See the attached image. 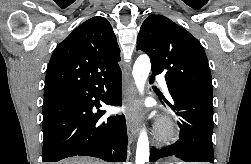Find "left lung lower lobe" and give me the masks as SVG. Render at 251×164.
Wrapping results in <instances>:
<instances>
[{"instance_id": "left-lung-lower-lobe-1", "label": "left lung lower lobe", "mask_w": 251, "mask_h": 164, "mask_svg": "<svg viewBox=\"0 0 251 164\" xmlns=\"http://www.w3.org/2000/svg\"><path fill=\"white\" fill-rule=\"evenodd\" d=\"M154 75L150 78L153 83ZM175 105H170L179 116V140L171 146L156 149L150 154V162L166 156H176L185 162H214L212 132V97L186 90L169 89Z\"/></svg>"}]
</instances>
